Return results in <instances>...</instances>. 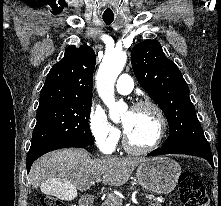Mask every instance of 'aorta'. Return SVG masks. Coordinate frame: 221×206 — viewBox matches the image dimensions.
<instances>
[{
    "label": "aorta",
    "instance_id": "762f6f07",
    "mask_svg": "<svg viewBox=\"0 0 221 206\" xmlns=\"http://www.w3.org/2000/svg\"><path fill=\"white\" fill-rule=\"evenodd\" d=\"M127 60L124 51H112L107 53L98 69L96 85L99 96L109 108V116L112 120H118L120 113L126 109L125 103L115 101L114 85L118 75L123 70Z\"/></svg>",
    "mask_w": 221,
    "mask_h": 206
}]
</instances>
